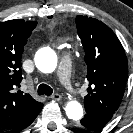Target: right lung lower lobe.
<instances>
[{"mask_svg":"<svg viewBox=\"0 0 133 133\" xmlns=\"http://www.w3.org/2000/svg\"><path fill=\"white\" fill-rule=\"evenodd\" d=\"M42 107H43V104L39 109H37L32 114H30L22 123H20L15 128L11 129V131L12 132H17V131H20V130L28 127L34 121V119L38 116V114L40 113Z\"/></svg>","mask_w":133,"mask_h":133,"instance_id":"obj_1","label":"right lung lower lobe"}]
</instances>
